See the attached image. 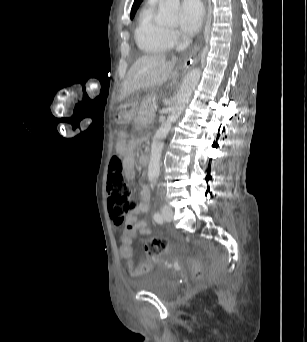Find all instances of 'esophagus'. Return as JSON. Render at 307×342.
Instances as JSON below:
<instances>
[{
  "label": "esophagus",
  "instance_id": "esophagus-1",
  "mask_svg": "<svg viewBox=\"0 0 307 342\" xmlns=\"http://www.w3.org/2000/svg\"><path fill=\"white\" fill-rule=\"evenodd\" d=\"M204 2L206 6L207 0H204ZM202 46H203V37L201 38V42L199 43V45L194 47L192 51L189 53L188 57L186 58V61L192 60V63H194L201 52Z\"/></svg>",
  "mask_w": 307,
  "mask_h": 342
}]
</instances>
